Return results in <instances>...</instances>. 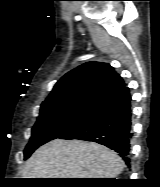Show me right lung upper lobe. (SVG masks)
<instances>
[{"mask_svg": "<svg viewBox=\"0 0 160 187\" xmlns=\"http://www.w3.org/2000/svg\"><path fill=\"white\" fill-rule=\"evenodd\" d=\"M125 86L123 79L106 63L87 62L65 74L54 86L41 108L70 102H94Z\"/></svg>", "mask_w": 160, "mask_h": 187, "instance_id": "right-lung-upper-lobe-1", "label": "right lung upper lobe"}]
</instances>
